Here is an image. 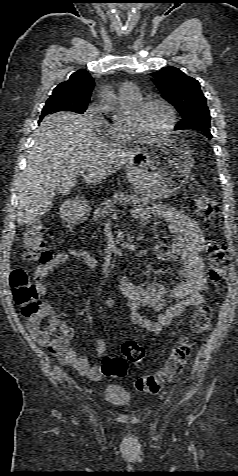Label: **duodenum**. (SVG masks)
Here are the masks:
<instances>
[{
	"mask_svg": "<svg viewBox=\"0 0 238 476\" xmlns=\"http://www.w3.org/2000/svg\"><path fill=\"white\" fill-rule=\"evenodd\" d=\"M70 218L74 220H80L82 218V215H73V216H70Z\"/></svg>",
	"mask_w": 238,
	"mask_h": 476,
	"instance_id": "obj_1",
	"label": "duodenum"
}]
</instances>
